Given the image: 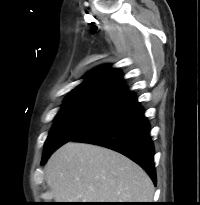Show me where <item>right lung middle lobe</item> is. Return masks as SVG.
<instances>
[{
    "label": "right lung middle lobe",
    "mask_w": 200,
    "mask_h": 205,
    "mask_svg": "<svg viewBox=\"0 0 200 205\" xmlns=\"http://www.w3.org/2000/svg\"><path fill=\"white\" fill-rule=\"evenodd\" d=\"M113 104L114 101L106 100L66 101L57 114L55 124L45 142L43 160L104 114Z\"/></svg>",
    "instance_id": "obj_1"
}]
</instances>
